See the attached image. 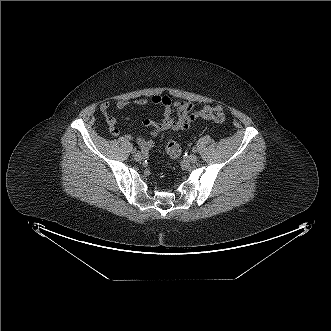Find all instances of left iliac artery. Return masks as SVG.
Here are the masks:
<instances>
[{
    "mask_svg": "<svg viewBox=\"0 0 331 331\" xmlns=\"http://www.w3.org/2000/svg\"><path fill=\"white\" fill-rule=\"evenodd\" d=\"M192 151H193V152H196V151H197V149L194 147V148H192Z\"/></svg>",
    "mask_w": 331,
    "mask_h": 331,
    "instance_id": "1",
    "label": "left iliac artery"
}]
</instances>
